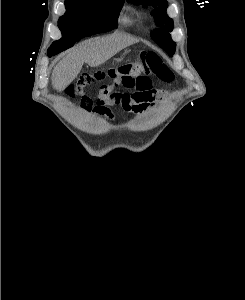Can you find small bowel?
<instances>
[{
  "mask_svg": "<svg viewBox=\"0 0 245 300\" xmlns=\"http://www.w3.org/2000/svg\"><path fill=\"white\" fill-rule=\"evenodd\" d=\"M122 85L119 80H112L111 84H103L95 102L82 93L81 108L91 113L92 116H105L114 120V114L109 108L112 105H120L129 114H138L146 111L155 104L157 99L152 82L147 76L140 77L131 88L118 90Z\"/></svg>",
  "mask_w": 245,
  "mask_h": 300,
  "instance_id": "small-bowel-1",
  "label": "small bowel"
}]
</instances>
